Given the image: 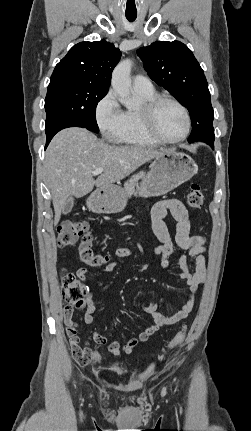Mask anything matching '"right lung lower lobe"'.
I'll return each mask as SVG.
<instances>
[{"mask_svg":"<svg viewBox=\"0 0 251 431\" xmlns=\"http://www.w3.org/2000/svg\"><path fill=\"white\" fill-rule=\"evenodd\" d=\"M67 127H75V126H73V124H67V125L63 126L62 128H60V129H57V130H54V131H51V132L46 133V137H47V139H46V147H47V145L49 144V142L51 141V139L53 138V136H54L58 131H60V130H62V129H64V128H67ZM46 147H45V148H46Z\"/></svg>","mask_w":251,"mask_h":431,"instance_id":"98d812e1","label":"right lung lower lobe"}]
</instances>
